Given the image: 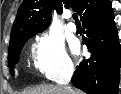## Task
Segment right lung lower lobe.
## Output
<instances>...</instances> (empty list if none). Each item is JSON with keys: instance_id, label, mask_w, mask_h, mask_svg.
<instances>
[{"instance_id": "1", "label": "right lung lower lobe", "mask_w": 121, "mask_h": 94, "mask_svg": "<svg viewBox=\"0 0 121 94\" xmlns=\"http://www.w3.org/2000/svg\"><path fill=\"white\" fill-rule=\"evenodd\" d=\"M81 21L91 57L76 67L72 83L88 94H117L121 47L111 2Z\"/></svg>"}]
</instances>
